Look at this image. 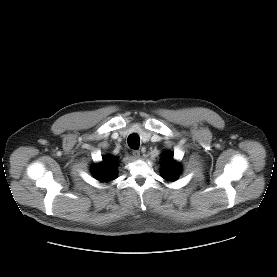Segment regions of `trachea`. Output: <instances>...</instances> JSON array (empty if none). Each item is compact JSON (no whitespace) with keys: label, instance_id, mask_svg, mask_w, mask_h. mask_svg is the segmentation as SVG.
Returning a JSON list of instances; mask_svg holds the SVG:
<instances>
[{"label":"trachea","instance_id":"1","mask_svg":"<svg viewBox=\"0 0 277 277\" xmlns=\"http://www.w3.org/2000/svg\"><path fill=\"white\" fill-rule=\"evenodd\" d=\"M128 145L132 149H137L140 145V138L136 134H131L127 139Z\"/></svg>","mask_w":277,"mask_h":277}]
</instances>
